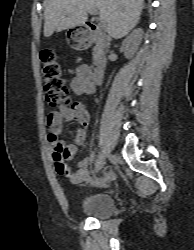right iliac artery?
<instances>
[{
  "mask_svg": "<svg viewBox=\"0 0 194 250\" xmlns=\"http://www.w3.org/2000/svg\"><path fill=\"white\" fill-rule=\"evenodd\" d=\"M101 154H102V152L99 153L98 159L101 157ZM98 159H97L96 165H97V163H98Z\"/></svg>",
  "mask_w": 194,
  "mask_h": 250,
  "instance_id": "obj_1",
  "label": "right iliac artery"
}]
</instances>
